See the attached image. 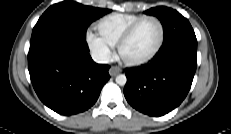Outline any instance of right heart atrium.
Wrapping results in <instances>:
<instances>
[{"mask_svg": "<svg viewBox=\"0 0 231 134\" xmlns=\"http://www.w3.org/2000/svg\"><path fill=\"white\" fill-rule=\"evenodd\" d=\"M85 41L92 57L98 63H108L113 58V46L98 33L91 29L87 30Z\"/></svg>", "mask_w": 231, "mask_h": 134, "instance_id": "right-heart-atrium-1", "label": "right heart atrium"}]
</instances>
